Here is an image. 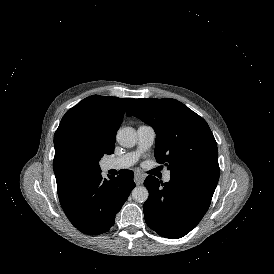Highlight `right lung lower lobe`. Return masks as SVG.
<instances>
[{
    "mask_svg": "<svg viewBox=\"0 0 274 274\" xmlns=\"http://www.w3.org/2000/svg\"><path fill=\"white\" fill-rule=\"evenodd\" d=\"M133 172L125 170L117 177L103 179L101 172L89 177L69 193L59 197L71 223L81 232L98 235L107 232L115 223L131 190L135 187Z\"/></svg>",
    "mask_w": 274,
    "mask_h": 274,
    "instance_id": "98d812e1",
    "label": "right lung lower lobe"
}]
</instances>
